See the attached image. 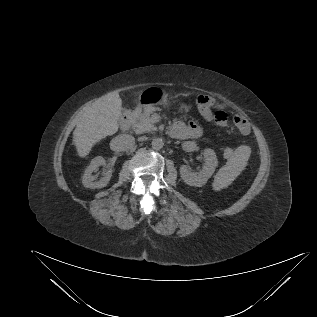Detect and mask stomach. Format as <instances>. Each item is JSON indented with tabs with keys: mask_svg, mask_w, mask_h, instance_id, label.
I'll list each match as a JSON object with an SVG mask.
<instances>
[{
	"mask_svg": "<svg viewBox=\"0 0 317 317\" xmlns=\"http://www.w3.org/2000/svg\"><path fill=\"white\" fill-rule=\"evenodd\" d=\"M168 94L158 87H149L144 89L138 97V105L143 108L153 107L156 105L166 104Z\"/></svg>",
	"mask_w": 317,
	"mask_h": 317,
	"instance_id": "stomach-1",
	"label": "stomach"
}]
</instances>
